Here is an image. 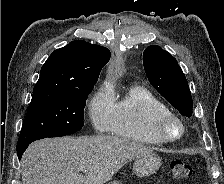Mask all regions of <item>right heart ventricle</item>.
Returning <instances> with one entry per match:
<instances>
[{"label":"right heart ventricle","mask_w":224,"mask_h":184,"mask_svg":"<svg viewBox=\"0 0 224 184\" xmlns=\"http://www.w3.org/2000/svg\"><path fill=\"white\" fill-rule=\"evenodd\" d=\"M169 112L167 105L148 88L135 85L114 99L109 130L138 143L158 145L162 142L152 132L153 119Z\"/></svg>","instance_id":"right-heart-ventricle-1"}]
</instances>
